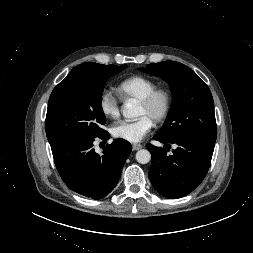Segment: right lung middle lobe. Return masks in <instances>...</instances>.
<instances>
[{
    "instance_id": "1",
    "label": "right lung middle lobe",
    "mask_w": 253,
    "mask_h": 253,
    "mask_svg": "<svg viewBox=\"0 0 253 253\" xmlns=\"http://www.w3.org/2000/svg\"><path fill=\"white\" fill-rule=\"evenodd\" d=\"M127 65H101L71 71L52 91L46 115L50 146L101 136L106 119L101 97L108 77Z\"/></svg>"
}]
</instances>
